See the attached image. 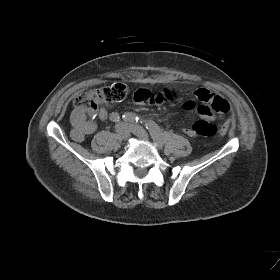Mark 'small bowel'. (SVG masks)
<instances>
[{"label": "small bowel", "instance_id": "c3829d8e", "mask_svg": "<svg viewBox=\"0 0 280 280\" xmlns=\"http://www.w3.org/2000/svg\"><path fill=\"white\" fill-rule=\"evenodd\" d=\"M176 94L177 92L173 88H166L159 92L138 89L134 93V100L139 104H161L172 100L176 97ZM195 98L200 102L199 105H196L193 101H187L184 104V108L188 111L195 110L201 119L211 121L215 119L216 115L222 118L230 111V105L224 98L206 88L196 90ZM98 115L101 120H105L108 116L107 110L101 108ZM231 122L232 119L230 118L221 125L224 132L228 129ZM71 123L73 126L71 135L75 141H82L86 135L93 133L96 129V124L91 120H87L84 112L78 109L73 111ZM183 132L189 137L196 136L191 128H186Z\"/></svg>", "mask_w": 280, "mask_h": 280}]
</instances>
